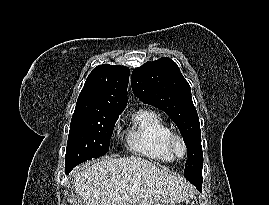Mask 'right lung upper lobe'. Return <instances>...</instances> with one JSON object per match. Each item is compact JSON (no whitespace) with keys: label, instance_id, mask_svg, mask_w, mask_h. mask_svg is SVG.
Listing matches in <instances>:
<instances>
[{"label":"right lung upper lobe","instance_id":"cb5924a9","mask_svg":"<svg viewBox=\"0 0 269 205\" xmlns=\"http://www.w3.org/2000/svg\"><path fill=\"white\" fill-rule=\"evenodd\" d=\"M129 73V69L121 65L97 66L87 77L74 112L120 115L128 100Z\"/></svg>","mask_w":269,"mask_h":205}]
</instances>
